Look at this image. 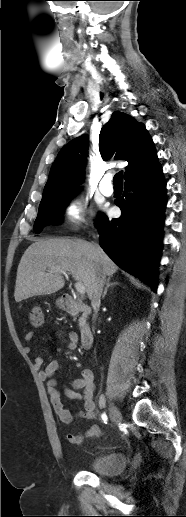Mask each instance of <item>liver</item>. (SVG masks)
<instances>
[{
    "label": "liver",
    "instance_id": "1",
    "mask_svg": "<svg viewBox=\"0 0 186 517\" xmlns=\"http://www.w3.org/2000/svg\"><path fill=\"white\" fill-rule=\"evenodd\" d=\"M58 267L83 283L89 297L98 272L112 276L118 266L102 250L81 239L37 240L24 252L17 269L14 298L16 302L37 295H48L63 288L61 273L49 270ZM48 269V270H47Z\"/></svg>",
    "mask_w": 186,
    "mask_h": 517
}]
</instances>
